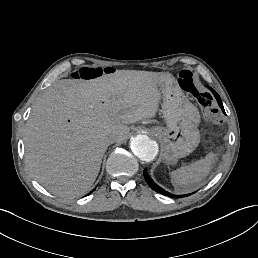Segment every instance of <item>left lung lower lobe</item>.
<instances>
[{"instance_id": "left-lung-lower-lobe-1", "label": "left lung lower lobe", "mask_w": 258, "mask_h": 258, "mask_svg": "<svg viewBox=\"0 0 258 258\" xmlns=\"http://www.w3.org/2000/svg\"><path fill=\"white\" fill-rule=\"evenodd\" d=\"M212 93L214 94L220 108L222 109V111L225 113L224 111V108H223V104H222V101H221V98L220 96L212 89V88H209ZM144 177H145V180L147 181V183L149 184V186L156 192L160 193V194H163V195H166V196H170V197H174V198H177V197H185V196H189L191 194H187V195H173L167 191H165L164 189H162L161 187H159L151 178L150 176L148 175L147 173V169H144Z\"/></svg>"}]
</instances>
